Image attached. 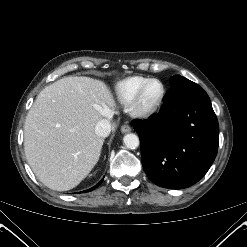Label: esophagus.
Segmentation results:
<instances>
[{
  "instance_id": "1",
  "label": "esophagus",
  "mask_w": 247,
  "mask_h": 247,
  "mask_svg": "<svg viewBox=\"0 0 247 247\" xmlns=\"http://www.w3.org/2000/svg\"><path fill=\"white\" fill-rule=\"evenodd\" d=\"M131 131V127L129 125H123L121 127V132L122 133H127V132H130Z\"/></svg>"
}]
</instances>
